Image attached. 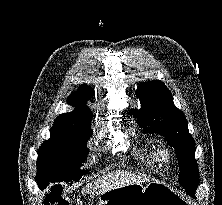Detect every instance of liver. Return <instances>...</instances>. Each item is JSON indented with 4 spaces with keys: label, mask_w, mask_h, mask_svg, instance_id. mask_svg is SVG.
Masks as SVG:
<instances>
[{
    "label": "liver",
    "mask_w": 222,
    "mask_h": 205,
    "mask_svg": "<svg viewBox=\"0 0 222 205\" xmlns=\"http://www.w3.org/2000/svg\"><path fill=\"white\" fill-rule=\"evenodd\" d=\"M146 179L126 171H115L108 175L98 178L95 181L88 183L82 193L100 195L104 192L120 188L129 184H141Z\"/></svg>",
    "instance_id": "liver-1"
}]
</instances>
